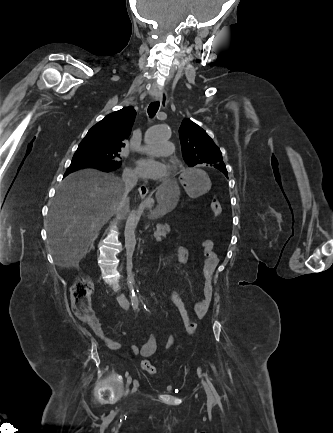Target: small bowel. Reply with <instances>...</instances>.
<instances>
[{
  "label": "small bowel",
  "instance_id": "small-bowel-1",
  "mask_svg": "<svg viewBox=\"0 0 333 433\" xmlns=\"http://www.w3.org/2000/svg\"><path fill=\"white\" fill-rule=\"evenodd\" d=\"M201 247L203 249V255H204L203 271L205 276H209L215 271L219 262V258L217 254L213 251V243L211 240L209 239L204 240L201 243ZM173 256L181 264H186L189 261V251L184 247L177 248L174 251ZM212 300H213V288L208 281H205L203 285L202 297L194 304L193 309L195 315L199 318L206 317L209 312ZM184 308L187 309L185 303H184ZM91 328L95 336L101 341H103L110 350L116 351L120 349V344L117 341L107 337L104 334L101 325L97 320L91 324ZM188 331L191 332V330ZM173 342L174 339L172 336H170L167 342V347L168 348L171 347ZM156 349H157V343L155 337L153 335H148L146 341L141 346L137 344H133L131 347V352L133 355H140L142 358L148 359L155 353Z\"/></svg>",
  "mask_w": 333,
  "mask_h": 433
}]
</instances>
